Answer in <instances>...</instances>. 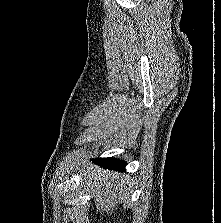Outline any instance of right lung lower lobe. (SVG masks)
I'll list each match as a JSON object with an SVG mask.
<instances>
[{"mask_svg": "<svg viewBox=\"0 0 221 223\" xmlns=\"http://www.w3.org/2000/svg\"><path fill=\"white\" fill-rule=\"evenodd\" d=\"M98 164H100L104 168L123 171L125 170V163L122 160H118L115 158H99L95 160Z\"/></svg>", "mask_w": 221, "mask_h": 223, "instance_id": "98d812e1", "label": "right lung lower lobe"}]
</instances>
